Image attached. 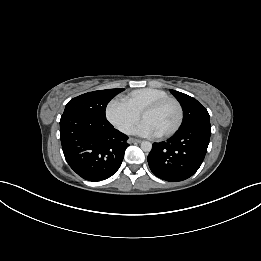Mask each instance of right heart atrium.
<instances>
[{"instance_id":"1","label":"right heart atrium","mask_w":261,"mask_h":261,"mask_svg":"<svg viewBox=\"0 0 261 261\" xmlns=\"http://www.w3.org/2000/svg\"><path fill=\"white\" fill-rule=\"evenodd\" d=\"M106 118L120 132L130 134L139 121L140 114L122 98H114L106 107Z\"/></svg>"}]
</instances>
